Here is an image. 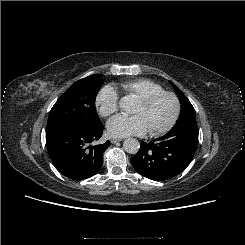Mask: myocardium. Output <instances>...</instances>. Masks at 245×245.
<instances>
[{"label": "myocardium", "mask_w": 245, "mask_h": 245, "mask_svg": "<svg viewBox=\"0 0 245 245\" xmlns=\"http://www.w3.org/2000/svg\"><path fill=\"white\" fill-rule=\"evenodd\" d=\"M171 97L174 102H175V110H174V114L172 116V118L170 119V121L161 129L159 130H155V131H149V134L151 136H160L163 134H166L167 132H169L177 123L180 114H181V102L179 97L171 91H162L159 93H155L149 96H144L141 97L137 100L138 103L144 105V106H148L150 104H152L153 102H155L157 99L161 98V97Z\"/></svg>", "instance_id": "1"}]
</instances>
